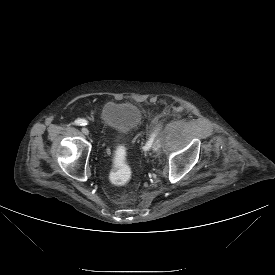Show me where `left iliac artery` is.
Returning <instances> with one entry per match:
<instances>
[{
	"label": "left iliac artery",
	"mask_w": 275,
	"mask_h": 275,
	"mask_svg": "<svg viewBox=\"0 0 275 275\" xmlns=\"http://www.w3.org/2000/svg\"><path fill=\"white\" fill-rule=\"evenodd\" d=\"M159 130L160 129H157V130H155V132H153L151 134V137H150L148 143L146 144L145 149H148L150 147V145L152 144V142H153L154 138L156 137V135H157V133H158Z\"/></svg>",
	"instance_id": "left-iliac-artery-1"
}]
</instances>
